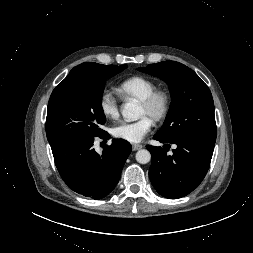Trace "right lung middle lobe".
<instances>
[{
  "label": "right lung middle lobe",
  "instance_id": "right-lung-middle-lobe-1",
  "mask_svg": "<svg viewBox=\"0 0 253 253\" xmlns=\"http://www.w3.org/2000/svg\"><path fill=\"white\" fill-rule=\"evenodd\" d=\"M127 65H105L68 75L53 90L46 118V135L52 147L76 140L93 139L105 133L101 101L106 80Z\"/></svg>",
  "mask_w": 253,
  "mask_h": 253
}]
</instances>
